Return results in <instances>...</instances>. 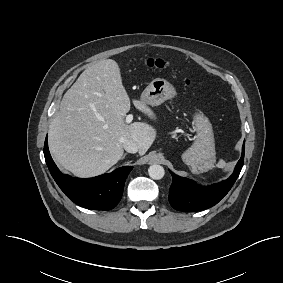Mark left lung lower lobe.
Segmentation results:
<instances>
[{
  "instance_id": "obj_1",
  "label": "left lung lower lobe",
  "mask_w": 283,
  "mask_h": 283,
  "mask_svg": "<svg viewBox=\"0 0 283 283\" xmlns=\"http://www.w3.org/2000/svg\"><path fill=\"white\" fill-rule=\"evenodd\" d=\"M244 145L242 155L233 174L220 183L207 187H201L194 181L179 177L172 173V185L169 189V202L178 211H199L210 208L217 204L231 189L244 163Z\"/></svg>"
}]
</instances>
